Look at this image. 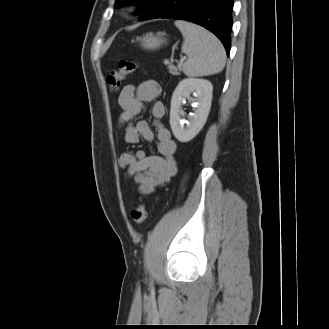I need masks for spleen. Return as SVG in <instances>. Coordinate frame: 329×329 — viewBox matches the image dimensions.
Returning <instances> with one entry per match:
<instances>
[{
  "label": "spleen",
  "instance_id": "3e777b00",
  "mask_svg": "<svg viewBox=\"0 0 329 329\" xmlns=\"http://www.w3.org/2000/svg\"><path fill=\"white\" fill-rule=\"evenodd\" d=\"M183 35L182 51L188 56L183 65L187 76H207L219 73L226 62L223 45L215 35L190 22L175 21Z\"/></svg>",
  "mask_w": 329,
  "mask_h": 329
}]
</instances>
